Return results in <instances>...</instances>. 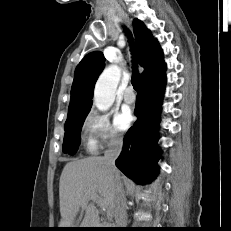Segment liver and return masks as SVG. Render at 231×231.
<instances>
[{
  "label": "liver",
  "mask_w": 231,
  "mask_h": 231,
  "mask_svg": "<svg viewBox=\"0 0 231 231\" xmlns=\"http://www.w3.org/2000/svg\"><path fill=\"white\" fill-rule=\"evenodd\" d=\"M116 175L120 180L117 170ZM114 177L107 170L102 157L93 156L68 162L60 176L59 199L61 228H94L99 226V212L89 203V197L96 194L102 201L107 214L114 213ZM80 209L85 216L79 225L76 216Z\"/></svg>",
  "instance_id": "liver-1"
}]
</instances>
